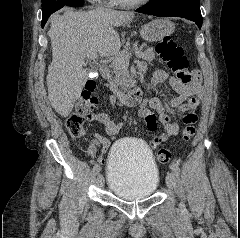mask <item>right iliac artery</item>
Returning <instances> with one entry per match:
<instances>
[{
  "mask_svg": "<svg viewBox=\"0 0 240 238\" xmlns=\"http://www.w3.org/2000/svg\"><path fill=\"white\" fill-rule=\"evenodd\" d=\"M93 170H94V173H95V174H98L99 171H100V166H99L98 164H96V165L94 166Z\"/></svg>",
  "mask_w": 240,
  "mask_h": 238,
  "instance_id": "82829eb1",
  "label": "right iliac artery"
}]
</instances>
